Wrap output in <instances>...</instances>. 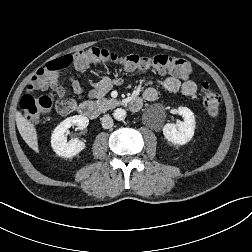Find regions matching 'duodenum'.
I'll return each instance as SVG.
<instances>
[{
  "mask_svg": "<svg viewBox=\"0 0 252 252\" xmlns=\"http://www.w3.org/2000/svg\"><path fill=\"white\" fill-rule=\"evenodd\" d=\"M129 108L136 112L142 107V99L134 98L129 103ZM78 113L86 118L95 119L99 115V107L93 101L82 102L77 106Z\"/></svg>",
  "mask_w": 252,
  "mask_h": 252,
  "instance_id": "obj_1",
  "label": "duodenum"
}]
</instances>
